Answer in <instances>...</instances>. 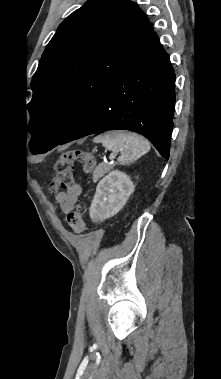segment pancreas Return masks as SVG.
<instances>
[{"instance_id": "obj_1", "label": "pancreas", "mask_w": 221, "mask_h": 379, "mask_svg": "<svg viewBox=\"0 0 221 379\" xmlns=\"http://www.w3.org/2000/svg\"><path fill=\"white\" fill-rule=\"evenodd\" d=\"M114 166H115L114 164H108V163L99 164L93 172V181L94 182L98 181L101 177L104 176V174L112 170Z\"/></svg>"}]
</instances>
